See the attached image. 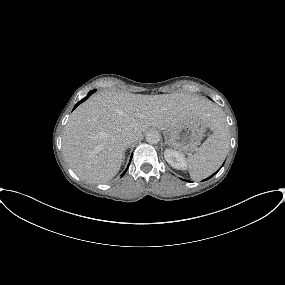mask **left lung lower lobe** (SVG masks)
<instances>
[{
	"instance_id": "left-lung-lower-lobe-1",
	"label": "left lung lower lobe",
	"mask_w": 285,
	"mask_h": 285,
	"mask_svg": "<svg viewBox=\"0 0 285 285\" xmlns=\"http://www.w3.org/2000/svg\"><path fill=\"white\" fill-rule=\"evenodd\" d=\"M213 175H214V174H213ZM213 175H211L209 178H211ZM209 178H208V179H209Z\"/></svg>"
}]
</instances>
